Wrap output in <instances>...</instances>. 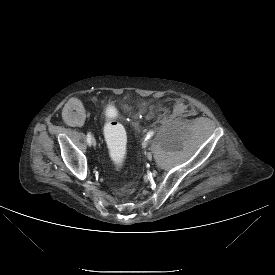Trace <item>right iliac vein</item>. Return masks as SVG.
I'll list each match as a JSON object with an SVG mask.
<instances>
[{"mask_svg":"<svg viewBox=\"0 0 275 275\" xmlns=\"http://www.w3.org/2000/svg\"><path fill=\"white\" fill-rule=\"evenodd\" d=\"M91 144L94 145V146L96 145V140L93 137L91 138Z\"/></svg>","mask_w":275,"mask_h":275,"instance_id":"1","label":"right iliac vein"}]
</instances>
